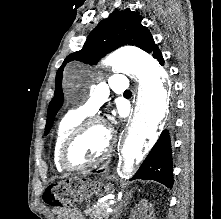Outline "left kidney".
<instances>
[{
    "instance_id": "left-kidney-1",
    "label": "left kidney",
    "mask_w": 221,
    "mask_h": 219,
    "mask_svg": "<svg viewBox=\"0 0 221 219\" xmlns=\"http://www.w3.org/2000/svg\"><path fill=\"white\" fill-rule=\"evenodd\" d=\"M131 217V219H155L152 204L146 199L141 200Z\"/></svg>"
}]
</instances>
